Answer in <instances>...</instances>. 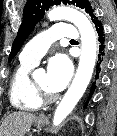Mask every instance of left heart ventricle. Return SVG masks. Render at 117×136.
Masks as SVG:
<instances>
[{
    "instance_id": "1",
    "label": "left heart ventricle",
    "mask_w": 117,
    "mask_h": 136,
    "mask_svg": "<svg viewBox=\"0 0 117 136\" xmlns=\"http://www.w3.org/2000/svg\"><path fill=\"white\" fill-rule=\"evenodd\" d=\"M35 81L37 84L45 90L47 93L53 94L54 92L49 88L48 83H47V74L45 72H42L38 74L35 78Z\"/></svg>"
}]
</instances>
